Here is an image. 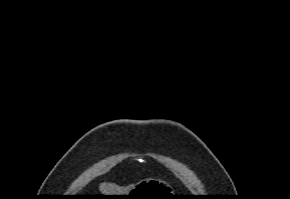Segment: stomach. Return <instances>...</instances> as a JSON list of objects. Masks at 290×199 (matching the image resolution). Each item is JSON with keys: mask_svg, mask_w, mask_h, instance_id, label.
Here are the masks:
<instances>
[{"mask_svg": "<svg viewBox=\"0 0 290 199\" xmlns=\"http://www.w3.org/2000/svg\"><path fill=\"white\" fill-rule=\"evenodd\" d=\"M167 186L161 182L149 180L143 183H140L137 187H134L131 191L126 194H115V195H129L123 196L124 199H136V198H151L160 193H171L167 191Z\"/></svg>", "mask_w": 290, "mask_h": 199, "instance_id": "0dacf381", "label": "stomach"}]
</instances>
